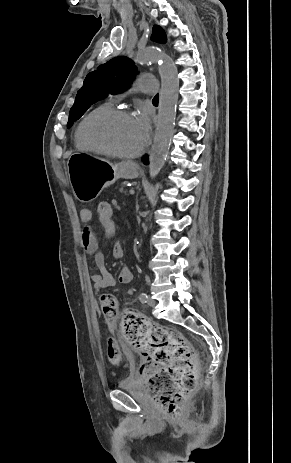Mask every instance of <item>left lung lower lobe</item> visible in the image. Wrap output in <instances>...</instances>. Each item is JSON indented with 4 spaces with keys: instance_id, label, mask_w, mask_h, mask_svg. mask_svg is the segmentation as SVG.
<instances>
[{
    "instance_id": "obj_1",
    "label": "left lung lower lobe",
    "mask_w": 291,
    "mask_h": 463,
    "mask_svg": "<svg viewBox=\"0 0 291 463\" xmlns=\"http://www.w3.org/2000/svg\"><path fill=\"white\" fill-rule=\"evenodd\" d=\"M143 160H144L145 164H148V162H149V161H148V156H145V157L143 158Z\"/></svg>"
}]
</instances>
